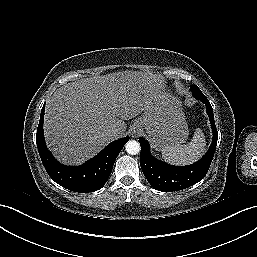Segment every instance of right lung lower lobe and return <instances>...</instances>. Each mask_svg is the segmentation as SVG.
<instances>
[{
  "instance_id": "right-lung-lower-lobe-1",
  "label": "right lung lower lobe",
  "mask_w": 257,
  "mask_h": 257,
  "mask_svg": "<svg viewBox=\"0 0 257 257\" xmlns=\"http://www.w3.org/2000/svg\"><path fill=\"white\" fill-rule=\"evenodd\" d=\"M44 112L45 105H43L40 114L36 142L40 158L48 175L57 184L71 191L88 193L101 189L107 182L114 162L129 137L126 136L113 141L83 165L64 166L53 157L46 147L43 133Z\"/></svg>"
}]
</instances>
